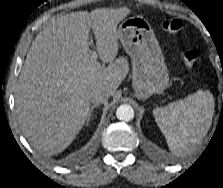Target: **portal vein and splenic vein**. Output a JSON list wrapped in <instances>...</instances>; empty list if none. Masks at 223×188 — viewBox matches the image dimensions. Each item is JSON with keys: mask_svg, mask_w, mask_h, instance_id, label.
Wrapping results in <instances>:
<instances>
[{"mask_svg": "<svg viewBox=\"0 0 223 188\" xmlns=\"http://www.w3.org/2000/svg\"><path fill=\"white\" fill-rule=\"evenodd\" d=\"M97 57H98V54L96 51H92L91 53V60L92 61H96L97 60Z\"/></svg>", "mask_w": 223, "mask_h": 188, "instance_id": "18ae733b", "label": "portal vein and splenic vein"}]
</instances>
